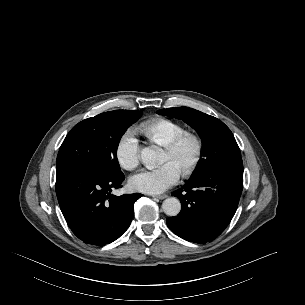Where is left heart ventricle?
<instances>
[{"mask_svg": "<svg viewBox=\"0 0 305 305\" xmlns=\"http://www.w3.org/2000/svg\"><path fill=\"white\" fill-rule=\"evenodd\" d=\"M195 155V147L191 141H186L176 152L164 150L162 163H172L181 172L192 162Z\"/></svg>", "mask_w": 305, "mask_h": 305, "instance_id": "b2bd125f", "label": "left heart ventricle"}]
</instances>
